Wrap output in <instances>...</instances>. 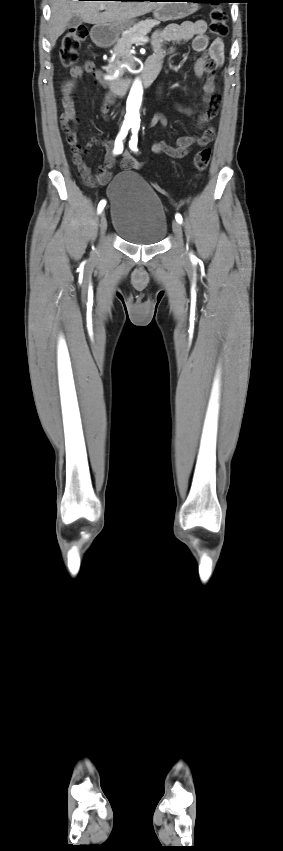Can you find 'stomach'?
<instances>
[{
	"label": "stomach",
	"mask_w": 283,
	"mask_h": 851,
	"mask_svg": "<svg viewBox=\"0 0 283 851\" xmlns=\"http://www.w3.org/2000/svg\"><path fill=\"white\" fill-rule=\"evenodd\" d=\"M187 2H166L154 10V17L159 21L178 20L185 18L197 11L196 0H185ZM134 21L123 23L96 25L93 30V38L106 44H113L122 30L129 28Z\"/></svg>",
	"instance_id": "stomach-1"
}]
</instances>
